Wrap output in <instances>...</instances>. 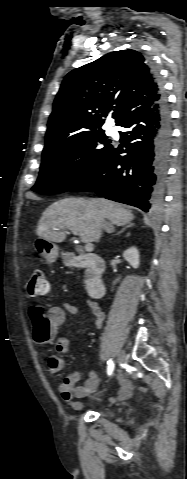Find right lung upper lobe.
Here are the masks:
<instances>
[{"label": "right lung upper lobe", "instance_id": "1", "mask_svg": "<svg viewBox=\"0 0 187 479\" xmlns=\"http://www.w3.org/2000/svg\"><path fill=\"white\" fill-rule=\"evenodd\" d=\"M157 75L135 50L109 53L68 73L48 122L45 149L76 135L101 130L112 114L120 126L128 115L162 97Z\"/></svg>", "mask_w": 187, "mask_h": 479}]
</instances>
